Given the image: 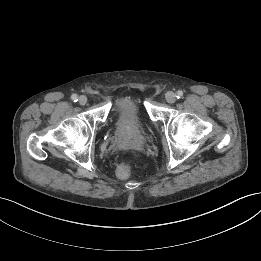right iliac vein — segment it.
Instances as JSON below:
<instances>
[{"mask_svg": "<svg viewBox=\"0 0 261 261\" xmlns=\"http://www.w3.org/2000/svg\"><path fill=\"white\" fill-rule=\"evenodd\" d=\"M88 99L86 96L82 95L79 97V104L80 105H85L87 103Z\"/></svg>", "mask_w": 261, "mask_h": 261, "instance_id": "63e3f726", "label": "right iliac vein"}]
</instances>
